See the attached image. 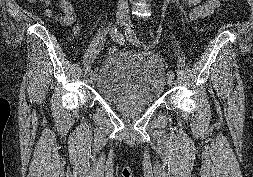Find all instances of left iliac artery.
Segmentation results:
<instances>
[{
	"label": "left iliac artery",
	"mask_w": 253,
	"mask_h": 177,
	"mask_svg": "<svg viewBox=\"0 0 253 177\" xmlns=\"http://www.w3.org/2000/svg\"><path fill=\"white\" fill-rule=\"evenodd\" d=\"M125 35H126L127 39H128L132 44H135L136 46H140V45H141V40L136 36V34H135L132 30L126 28V30H125ZM167 75H170V76H173V77H174V76H175V73H174L173 70H169V71L167 72Z\"/></svg>",
	"instance_id": "1"
}]
</instances>
